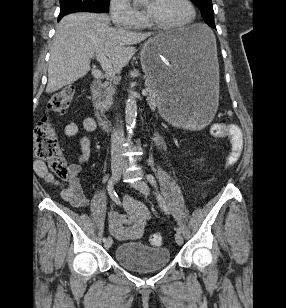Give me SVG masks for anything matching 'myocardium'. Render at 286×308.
<instances>
[{"label":"myocardium","mask_w":286,"mask_h":308,"mask_svg":"<svg viewBox=\"0 0 286 308\" xmlns=\"http://www.w3.org/2000/svg\"><path fill=\"white\" fill-rule=\"evenodd\" d=\"M187 5L189 6L191 10V18L184 23L180 24H169V23H164L162 21L156 20L153 17H151L149 14H146V21L148 22L149 25L156 29H163V30H174V29H182L191 26L192 24L195 23L196 17H197V12L196 8L191 0H185Z\"/></svg>","instance_id":"obj_1"}]
</instances>
